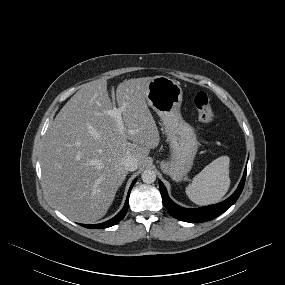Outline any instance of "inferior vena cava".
I'll return each instance as SVG.
<instances>
[{
  "label": "inferior vena cava",
  "mask_w": 285,
  "mask_h": 285,
  "mask_svg": "<svg viewBox=\"0 0 285 285\" xmlns=\"http://www.w3.org/2000/svg\"><path fill=\"white\" fill-rule=\"evenodd\" d=\"M121 165L127 171H135L138 168V160L133 155H126L121 159Z\"/></svg>",
  "instance_id": "obj_1"
}]
</instances>
